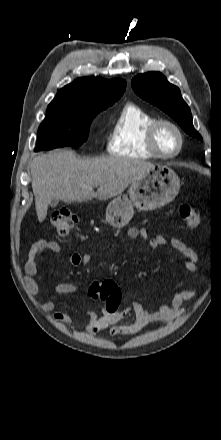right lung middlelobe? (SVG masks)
I'll list each match as a JSON object with an SVG mask.
<instances>
[{"mask_svg":"<svg viewBox=\"0 0 221 440\" xmlns=\"http://www.w3.org/2000/svg\"><path fill=\"white\" fill-rule=\"evenodd\" d=\"M106 108L49 104L46 117L38 129V143L34 151L81 146L88 138L92 120Z\"/></svg>","mask_w":221,"mask_h":440,"instance_id":"obj_1","label":"right lung middle lobe"}]
</instances>
